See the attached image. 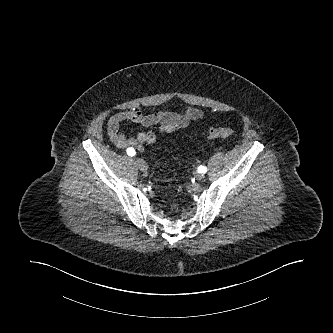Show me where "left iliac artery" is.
Instances as JSON below:
<instances>
[{
  "label": "left iliac artery",
  "instance_id": "44dca946",
  "mask_svg": "<svg viewBox=\"0 0 333 333\" xmlns=\"http://www.w3.org/2000/svg\"><path fill=\"white\" fill-rule=\"evenodd\" d=\"M198 172L199 173H206L207 172V167H205V166H199L198 167Z\"/></svg>",
  "mask_w": 333,
  "mask_h": 333
}]
</instances>
